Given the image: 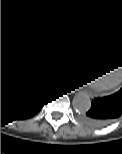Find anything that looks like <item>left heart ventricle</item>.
<instances>
[{
    "instance_id": "obj_1",
    "label": "left heart ventricle",
    "mask_w": 122,
    "mask_h": 154,
    "mask_svg": "<svg viewBox=\"0 0 122 154\" xmlns=\"http://www.w3.org/2000/svg\"><path fill=\"white\" fill-rule=\"evenodd\" d=\"M117 57H113V59H107L106 61H103L97 65H94L92 67H90L87 71V74H92L98 70H100L101 68H104L105 66H108L109 64H112V62H115ZM121 71L118 69H114L113 71L110 72H106L105 74H103L102 76L98 77L97 79H95L92 82H98V83H107L110 82L114 79H117L118 76H120Z\"/></svg>"
}]
</instances>
